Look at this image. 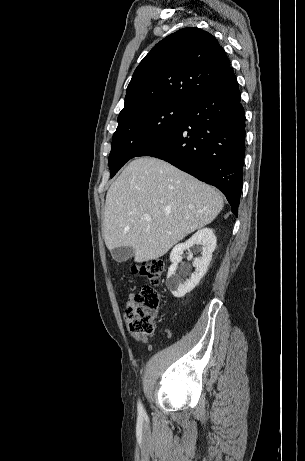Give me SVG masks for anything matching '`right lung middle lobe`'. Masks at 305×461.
<instances>
[{"mask_svg": "<svg viewBox=\"0 0 305 461\" xmlns=\"http://www.w3.org/2000/svg\"><path fill=\"white\" fill-rule=\"evenodd\" d=\"M189 104L165 102L118 119L109 155L111 177L131 158L173 131L184 119Z\"/></svg>", "mask_w": 305, "mask_h": 461, "instance_id": "dd1d6c3e", "label": "right lung middle lobe"}]
</instances>
